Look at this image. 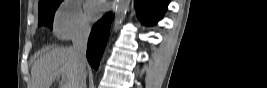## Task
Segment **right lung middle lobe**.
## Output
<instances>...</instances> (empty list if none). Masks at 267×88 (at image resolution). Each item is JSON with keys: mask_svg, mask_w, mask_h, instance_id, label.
<instances>
[{"mask_svg": "<svg viewBox=\"0 0 267 88\" xmlns=\"http://www.w3.org/2000/svg\"><path fill=\"white\" fill-rule=\"evenodd\" d=\"M63 0H43L38 6V25L52 28L54 14Z\"/></svg>", "mask_w": 267, "mask_h": 88, "instance_id": "right-lung-middle-lobe-1", "label": "right lung middle lobe"}]
</instances>
